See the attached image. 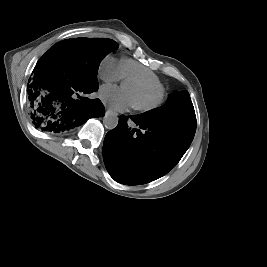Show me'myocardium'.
Returning a JSON list of instances; mask_svg holds the SVG:
<instances>
[{"instance_id":"obj_1","label":"myocardium","mask_w":267,"mask_h":267,"mask_svg":"<svg viewBox=\"0 0 267 267\" xmlns=\"http://www.w3.org/2000/svg\"><path fill=\"white\" fill-rule=\"evenodd\" d=\"M129 81L147 85L148 87H150L151 89H153L156 92V97L151 102L146 103V104H142V105L134 103L133 107L135 110L144 111V112L150 111V110L155 109L156 107H158L162 103V100L164 97V92L159 86L152 85L149 82H147L141 78H138V77L129 78L127 80V82H129Z\"/></svg>"}]
</instances>
